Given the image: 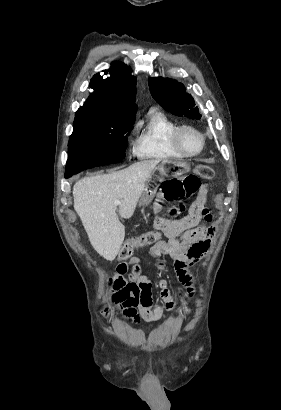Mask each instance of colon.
<instances>
[{"label":"colon","instance_id":"colon-1","mask_svg":"<svg viewBox=\"0 0 281 410\" xmlns=\"http://www.w3.org/2000/svg\"><path fill=\"white\" fill-rule=\"evenodd\" d=\"M214 177V170L205 164H198L194 174L183 179H176L166 182L162 187V200L166 202H178L176 207L168 211L170 217H175L183 210L182 201L192 196L199 188L201 180H210ZM160 234L158 231H148L134 238L128 239L123 243L119 252L118 259L125 261L129 259L133 251L139 247L153 244L158 241Z\"/></svg>","mask_w":281,"mask_h":410}]
</instances>
